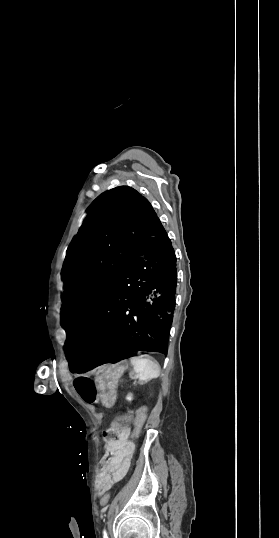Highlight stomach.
<instances>
[{"mask_svg": "<svg viewBox=\"0 0 279 538\" xmlns=\"http://www.w3.org/2000/svg\"><path fill=\"white\" fill-rule=\"evenodd\" d=\"M123 370L121 363H103L101 367L97 369V376L99 378L96 389L100 394L102 406L109 409L113 405V401L117 399V386L115 383L117 380V374H121Z\"/></svg>", "mask_w": 279, "mask_h": 538, "instance_id": "stomach-1", "label": "stomach"}]
</instances>
